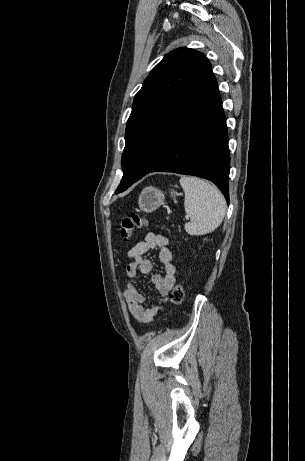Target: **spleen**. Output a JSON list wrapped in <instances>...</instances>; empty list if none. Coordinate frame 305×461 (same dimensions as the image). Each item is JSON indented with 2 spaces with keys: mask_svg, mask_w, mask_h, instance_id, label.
I'll use <instances>...</instances> for the list:
<instances>
[{
  "mask_svg": "<svg viewBox=\"0 0 305 461\" xmlns=\"http://www.w3.org/2000/svg\"><path fill=\"white\" fill-rule=\"evenodd\" d=\"M180 184L185 193L184 208L190 222L184 225L190 235H205L221 224L226 202L221 192L207 181L183 176Z\"/></svg>",
  "mask_w": 305,
  "mask_h": 461,
  "instance_id": "spleen-1",
  "label": "spleen"
}]
</instances>
